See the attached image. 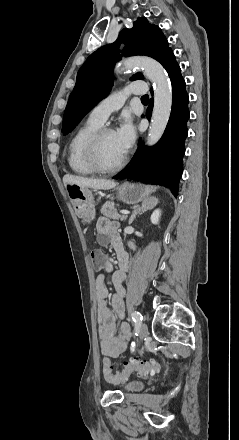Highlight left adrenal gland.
Wrapping results in <instances>:
<instances>
[{
	"instance_id": "1",
	"label": "left adrenal gland",
	"mask_w": 239,
	"mask_h": 440,
	"mask_svg": "<svg viewBox=\"0 0 239 440\" xmlns=\"http://www.w3.org/2000/svg\"><path fill=\"white\" fill-rule=\"evenodd\" d=\"M146 204H143L142 208H136V210H133L131 218L128 220V224H132L133 220H135L136 216L138 214H143V212H146Z\"/></svg>"
}]
</instances>
